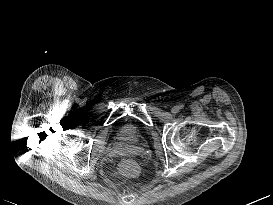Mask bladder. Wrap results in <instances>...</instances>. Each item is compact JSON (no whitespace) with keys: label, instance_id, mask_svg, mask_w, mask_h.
<instances>
[{"label":"bladder","instance_id":"31cf9c89","mask_svg":"<svg viewBox=\"0 0 273 205\" xmlns=\"http://www.w3.org/2000/svg\"><path fill=\"white\" fill-rule=\"evenodd\" d=\"M118 136L124 143L135 144L139 140V131L132 125L121 124L118 128Z\"/></svg>","mask_w":273,"mask_h":205}]
</instances>
